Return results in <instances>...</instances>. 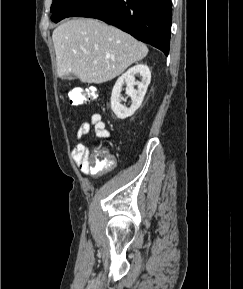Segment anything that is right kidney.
I'll return each mask as SVG.
<instances>
[{"label": "right kidney", "mask_w": 243, "mask_h": 289, "mask_svg": "<svg viewBox=\"0 0 243 289\" xmlns=\"http://www.w3.org/2000/svg\"><path fill=\"white\" fill-rule=\"evenodd\" d=\"M139 74L142 77L141 81L135 80V75ZM151 81V72L146 64H137L127 72H125L116 81L111 94V109L119 119H125L134 114V112L141 106V103L146 94L148 85ZM126 83V94L131 97L132 104L126 107L121 104L122 86ZM138 85V90L134 89V85Z\"/></svg>", "instance_id": "1"}]
</instances>
